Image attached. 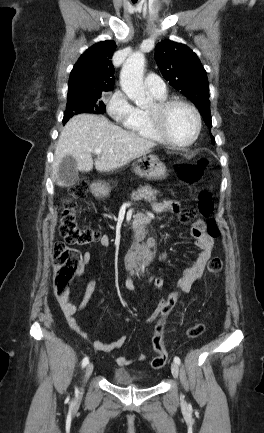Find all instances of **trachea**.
Listing matches in <instances>:
<instances>
[{
	"instance_id": "obj_1",
	"label": "trachea",
	"mask_w": 264,
	"mask_h": 433,
	"mask_svg": "<svg viewBox=\"0 0 264 433\" xmlns=\"http://www.w3.org/2000/svg\"><path fill=\"white\" fill-rule=\"evenodd\" d=\"M133 3H136L137 2V0H131Z\"/></svg>"
}]
</instances>
